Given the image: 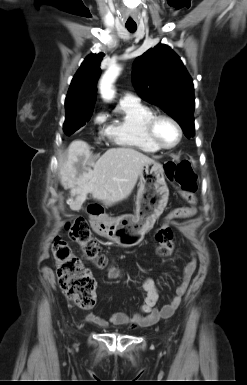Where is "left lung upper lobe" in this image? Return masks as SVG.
Returning a JSON list of instances; mask_svg holds the SVG:
<instances>
[{
	"instance_id": "5c2ea615",
	"label": "left lung upper lobe",
	"mask_w": 247,
	"mask_h": 385,
	"mask_svg": "<svg viewBox=\"0 0 247 385\" xmlns=\"http://www.w3.org/2000/svg\"><path fill=\"white\" fill-rule=\"evenodd\" d=\"M133 84L144 100L173 117L187 138L195 135L193 82L169 46L159 44L135 60Z\"/></svg>"
}]
</instances>
